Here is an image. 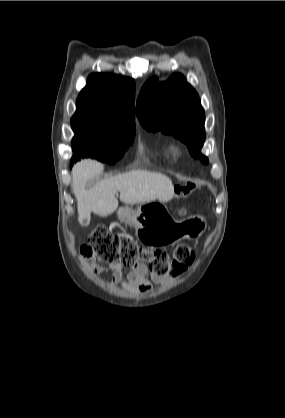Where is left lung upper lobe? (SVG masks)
Returning a JSON list of instances; mask_svg holds the SVG:
<instances>
[{"label":"left lung upper lobe","instance_id":"obj_1","mask_svg":"<svg viewBox=\"0 0 285 418\" xmlns=\"http://www.w3.org/2000/svg\"><path fill=\"white\" fill-rule=\"evenodd\" d=\"M136 114L148 131L161 130L183 141L190 154L203 163L208 158L200 152L205 130L204 109L196 91L181 74L172 75L166 82L151 78L137 99Z\"/></svg>","mask_w":285,"mask_h":418}]
</instances>
